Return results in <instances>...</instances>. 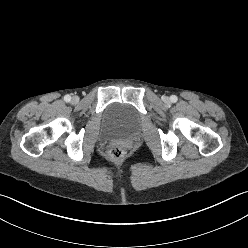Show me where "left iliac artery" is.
<instances>
[{"label":"left iliac artery","mask_w":248,"mask_h":248,"mask_svg":"<svg viewBox=\"0 0 248 248\" xmlns=\"http://www.w3.org/2000/svg\"><path fill=\"white\" fill-rule=\"evenodd\" d=\"M170 100H171V102H173V103H175V102H177V96H175V95H172L171 97H170Z\"/></svg>","instance_id":"left-iliac-artery-1"}]
</instances>
